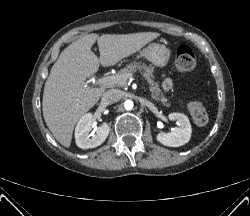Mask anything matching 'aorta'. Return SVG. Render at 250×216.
Wrapping results in <instances>:
<instances>
[{
    "mask_svg": "<svg viewBox=\"0 0 250 216\" xmlns=\"http://www.w3.org/2000/svg\"><path fill=\"white\" fill-rule=\"evenodd\" d=\"M134 104H133V101L131 100H126L124 102V107L126 110H131L133 108Z\"/></svg>",
    "mask_w": 250,
    "mask_h": 216,
    "instance_id": "aorta-1",
    "label": "aorta"
}]
</instances>
